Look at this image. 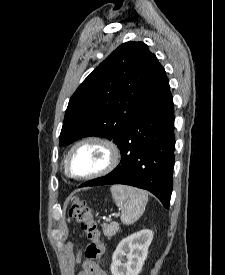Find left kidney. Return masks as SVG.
Returning a JSON list of instances; mask_svg holds the SVG:
<instances>
[{
	"instance_id": "obj_1",
	"label": "left kidney",
	"mask_w": 225,
	"mask_h": 275,
	"mask_svg": "<svg viewBox=\"0 0 225 275\" xmlns=\"http://www.w3.org/2000/svg\"><path fill=\"white\" fill-rule=\"evenodd\" d=\"M153 235L151 230H141L124 238L112 256V275H138L147 258ZM124 257L127 259L125 262Z\"/></svg>"
}]
</instances>
